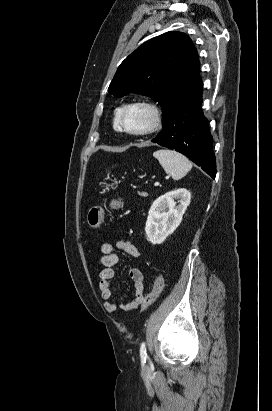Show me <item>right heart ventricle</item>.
Segmentation results:
<instances>
[{
    "label": "right heart ventricle",
    "mask_w": 272,
    "mask_h": 411,
    "mask_svg": "<svg viewBox=\"0 0 272 411\" xmlns=\"http://www.w3.org/2000/svg\"><path fill=\"white\" fill-rule=\"evenodd\" d=\"M121 108H122V107H120V108H118V109L115 110L114 118H113V127H114V129L117 130V131L120 130V129H119V126H118V116H119V112H120Z\"/></svg>",
    "instance_id": "right-heart-ventricle-1"
}]
</instances>
